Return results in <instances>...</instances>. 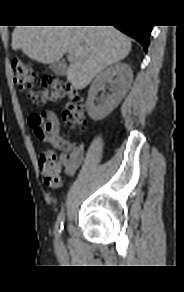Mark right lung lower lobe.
Instances as JSON below:
<instances>
[{
  "label": "right lung lower lobe",
  "mask_w": 184,
  "mask_h": 292,
  "mask_svg": "<svg viewBox=\"0 0 184 292\" xmlns=\"http://www.w3.org/2000/svg\"><path fill=\"white\" fill-rule=\"evenodd\" d=\"M123 33L131 36L138 42H140L146 51L149 45V37L152 30V26L148 25H115Z\"/></svg>",
  "instance_id": "1"
}]
</instances>
